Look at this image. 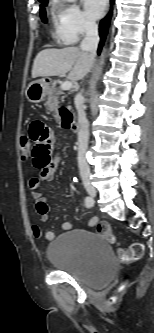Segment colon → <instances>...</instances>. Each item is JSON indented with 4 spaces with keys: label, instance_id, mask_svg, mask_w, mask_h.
Returning a JSON list of instances; mask_svg holds the SVG:
<instances>
[{
    "label": "colon",
    "instance_id": "obj_1",
    "mask_svg": "<svg viewBox=\"0 0 154 333\" xmlns=\"http://www.w3.org/2000/svg\"><path fill=\"white\" fill-rule=\"evenodd\" d=\"M62 118L64 122H68L71 117L67 109H62ZM21 156L23 159H28L31 156V141L28 136L21 138ZM97 233L101 234L105 240L110 243H115V237L107 222H100L96 227ZM143 255V246L140 243H132L127 249H118V258L122 262H130L138 260Z\"/></svg>",
    "mask_w": 154,
    "mask_h": 333
}]
</instances>
